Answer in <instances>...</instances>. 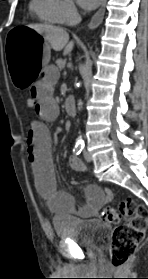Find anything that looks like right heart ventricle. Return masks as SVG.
I'll use <instances>...</instances> for the list:
<instances>
[{
  "label": "right heart ventricle",
  "instance_id": "1",
  "mask_svg": "<svg viewBox=\"0 0 148 279\" xmlns=\"http://www.w3.org/2000/svg\"><path fill=\"white\" fill-rule=\"evenodd\" d=\"M30 10L42 22L58 25L65 21L59 10L58 0H31Z\"/></svg>",
  "mask_w": 148,
  "mask_h": 279
}]
</instances>
